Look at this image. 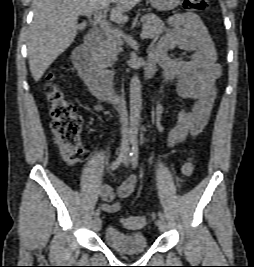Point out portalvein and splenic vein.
<instances>
[{
  "instance_id": "portal-vein-and-splenic-vein-1",
  "label": "portal vein and splenic vein",
  "mask_w": 254,
  "mask_h": 267,
  "mask_svg": "<svg viewBox=\"0 0 254 267\" xmlns=\"http://www.w3.org/2000/svg\"><path fill=\"white\" fill-rule=\"evenodd\" d=\"M94 20H95L96 23H98L101 26L102 30L105 32V34L107 36H109L110 38H113V39L120 40V34L115 32L114 30H112V28L110 27L109 23L106 21L102 11H100V10L95 11ZM141 38L142 39L146 38V35H145L144 32L141 33Z\"/></svg>"
}]
</instances>
